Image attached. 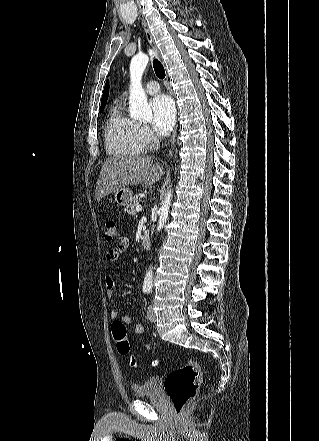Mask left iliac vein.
I'll return each mask as SVG.
<instances>
[{"instance_id":"left-iliac-vein-1","label":"left iliac vein","mask_w":319,"mask_h":441,"mask_svg":"<svg viewBox=\"0 0 319 441\" xmlns=\"http://www.w3.org/2000/svg\"><path fill=\"white\" fill-rule=\"evenodd\" d=\"M147 317L151 322H156V314L154 312L153 306L149 305L147 309Z\"/></svg>"}]
</instances>
